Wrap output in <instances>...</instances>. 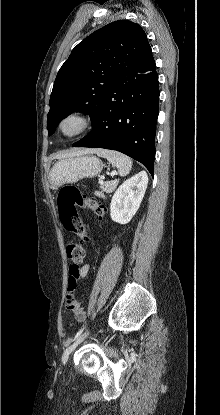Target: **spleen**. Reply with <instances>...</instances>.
I'll return each instance as SVG.
<instances>
[{"label": "spleen", "instance_id": "obj_1", "mask_svg": "<svg viewBox=\"0 0 220 415\" xmlns=\"http://www.w3.org/2000/svg\"><path fill=\"white\" fill-rule=\"evenodd\" d=\"M97 155L106 158L114 167L118 169L120 176L129 174L132 168L130 157L113 150L100 149L96 151Z\"/></svg>", "mask_w": 220, "mask_h": 415}]
</instances>
